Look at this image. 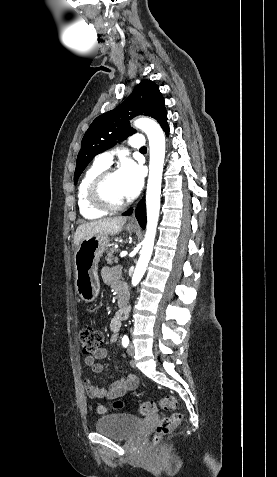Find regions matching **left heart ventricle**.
Returning <instances> with one entry per match:
<instances>
[{
  "instance_id": "obj_1",
  "label": "left heart ventricle",
  "mask_w": 277,
  "mask_h": 477,
  "mask_svg": "<svg viewBox=\"0 0 277 477\" xmlns=\"http://www.w3.org/2000/svg\"><path fill=\"white\" fill-rule=\"evenodd\" d=\"M104 194L106 198L113 203H119L126 199L123 194L120 179L117 173L110 176L105 183Z\"/></svg>"
}]
</instances>
